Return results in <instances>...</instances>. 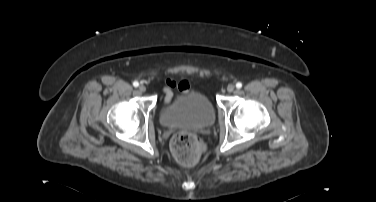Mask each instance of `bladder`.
<instances>
[{
    "mask_svg": "<svg viewBox=\"0 0 376 202\" xmlns=\"http://www.w3.org/2000/svg\"><path fill=\"white\" fill-rule=\"evenodd\" d=\"M159 118L166 128L198 130L214 123L215 109L205 94L191 91L165 106Z\"/></svg>",
    "mask_w": 376,
    "mask_h": 202,
    "instance_id": "bladder-1",
    "label": "bladder"
}]
</instances>
